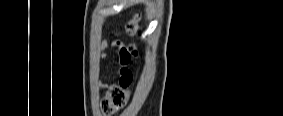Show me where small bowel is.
<instances>
[{
    "label": "small bowel",
    "instance_id": "1",
    "mask_svg": "<svg viewBox=\"0 0 283 116\" xmlns=\"http://www.w3.org/2000/svg\"><path fill=\"white\" fill-rule=\"evenodd\" d=\"M101 48L104 51H108L110 49L115 48L117 50V60H116V66L119 68L120 76H128L130 71L125 68V65L129 62V56L125 52V47L122 43L116 42L111 43L107 40H104L102 42Z\"/></svg>",
    "mask_w": 283,
    "mask_h": 116
}]
</instances>
